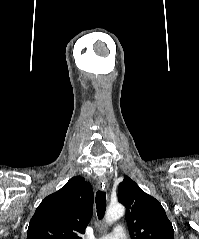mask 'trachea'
<instances>
[{"label":"trachea","mask_w":199,"mask_h":239,"mask_svg":"<svg viewBox=\"0 0 199 239\" xmlns=\"http://www.w3.org/2000/svg\"><path fill=\"white\" fill-rule=\"evenodd\" d=\"M96 209L99 219H102L106 210V193L104 191H98L96 193Z\"/></svg>","instance_id":"obj_1"}]
</instances>
